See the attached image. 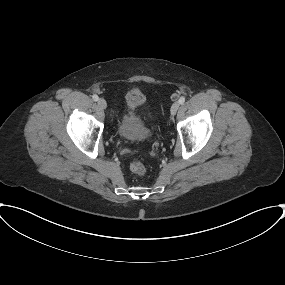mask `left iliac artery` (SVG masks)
Masks as SVG:
<instances>
[{
	"label": "left iliac artery",
	"mask_w": 285,
	"mask_h": 285,
	"mask_svg": "<svg viewBox=\"0 0 285 285\" xmlns=\"http://www.w3.org/2000/svg\"><path fill=\"white\" fill-rule=\"evenodd\" d=\"M178 102H179V104H183L185 102V98L184 97H180Z\"/></svg>",
	"instance_id": "left-iliac-artery-1"
}]
</instances>
